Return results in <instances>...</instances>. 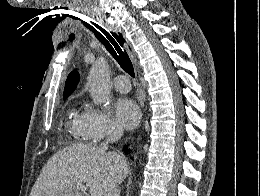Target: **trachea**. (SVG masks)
<instances>
[{"mask_svg":"<svg viewBox=\"0 0 260 196\" xmlns=\"http://www.w3.org/2000/svg\"><path fill=\"white\" fill-rule=\"evenodd\" d=\"M104 35L106 36L107 40L102 41V43L106 49L109 51V53H111L113 58H115L120 67L134 78V68L127 51L123 49L125 40L121 33L117 34L112 32H105Z\"/></svg>","mask_w":260,"mask_h":196,"instance_id":"trachea-1","label":"trachea"}]
</instances>
